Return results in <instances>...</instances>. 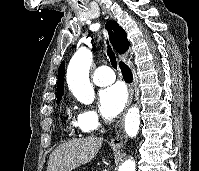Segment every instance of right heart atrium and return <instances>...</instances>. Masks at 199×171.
Returning <instances> with one entry per match:
<instances>
[{"instance_id":"1","label":"right heart atrium","mask_w":199,"mask_h":171,"mask_svg":"<svg viewBox=\"0 0 199 171\" xmlns=\"http://www.w3.org/2000/svg\"><path fill=\"white\" fill-rule=\"evenodd\" d=\"M102 117L94 109H84L78 116V123L83 132L96 131L102 124Z\"/></svg>"}]
</instances>
